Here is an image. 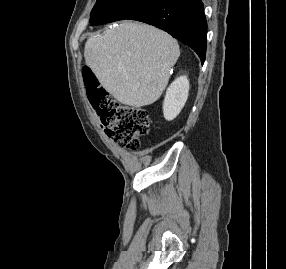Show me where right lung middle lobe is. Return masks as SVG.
Wrapping results in <instances>:
<instances>
[{
	"instance_id": "obj_1",
	"label": "right lung middle lobe",
	"mask_w": 286,
	"mask_h": 269,
	"mask_svg": "<svg viewBox=\"0 0 286 269\" xmlns=\"http://www.w3.org/2000/svg\"><path fill=\"white\" fill-rule=\"evenodd\" d=\"M155 0H97L91 11L92 26L128 19Z\"/></svg>"
}]
</instances>
